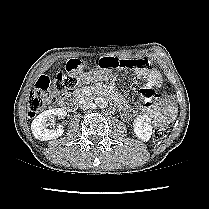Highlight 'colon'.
<instances>
[{
    "instance_id": "colon-1",
    "label": "colon",
    "mask_w": 209,
    "mask_h": 209,
    "mask_svg": "<svg viewBox=\"0 0 209 209\" xmlns=\"http://www.w3.org/2000/svg\"><path fill=\"white\" fill-rule=\"evenodd\" d=\"M152 62L149 59L142 58L141 60H134L131 57L109 55L99 61V67L106 69L120 68L124 70H131L137 67L149 68ZM83 70L81 62L71 60L66 64L65 70L57 73V75L50 79L47 76H41L35 83V86L30 93L28 102V115L30 117L36 116L43 108L52 105L56 101L57 93L67 92L74 89L80 80V74ZM168 134L167 125L160 126L156 132L157 138H164Z\"/></svg>"
}]
</instances>
